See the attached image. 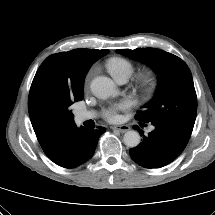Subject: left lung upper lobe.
Segmentation results:
<instances>
[{
    "label": "left lung upper lobe",
    "instance_id": "5c2ea615",
    "mask_svg": "<svg viewBox=\"0 0 215 215\" xmlns=\"http://www.w3.org/2000/svg\"><path fill=\"white\" fill-rule=\"evenodd\" d=\"M116 51L147 64L158 76L153 99L136 114V119L165 125L189 139L196 119L197 97L186 63L171 53L155 48Z\"/></svg>",
    "mask_w": 215,
    "mask_h": 215
}]
</instances>
